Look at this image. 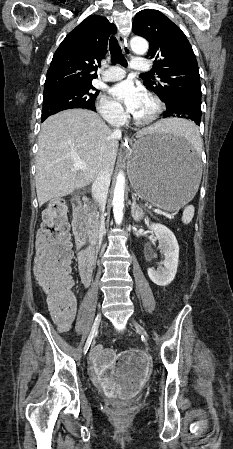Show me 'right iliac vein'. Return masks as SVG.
<instances>
[{
  "label": "right iliac vein",
  "mask_w": 233,
  "mask_h": 449,
  "mask_svg": "<svg viewBox=\"0 0 233 449\" xmlns=\"http://www.w3.org/2000/svg\"><path fill=\"white\" fill-rule=\"evenodd\" d=\"M100 321H101V313H99V314L96 316L95 321H94L93 326H92V329H91V332H90V334H89V337L87 338L86 343L89 342V341H91V339H93L94 335H95L96 332H97V329H98V326H99ZM85 345H86V344H85Z\"/></svg>",
  "instance_id": "63e3f726"
}]
</instances>
